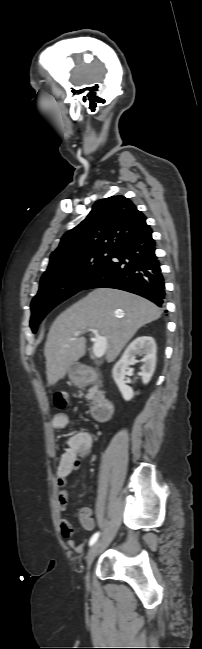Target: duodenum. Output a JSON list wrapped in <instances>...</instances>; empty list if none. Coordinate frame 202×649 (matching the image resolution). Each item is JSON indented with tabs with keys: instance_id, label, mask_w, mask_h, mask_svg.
<instances>
[{
	"instance_id": "duodenum-1",
	"label": "duodenum",
	"mask_w": 202,
	"mask_h": 649,
	"mask_svg": "<svg viewBox=\"0 0 202 649\" xmlns=\"http://www.w3.org/2000/svg\"><path fill=\"white\" fill-rule=\"evenodd\" d=\"M78 378L84 383H95L98 381V374L92 367L83 366L79 369ZM113 408L109 398H100L94 403L92 414L99 421H108L113 414Z\"/></svg>"
}]
</instances>
